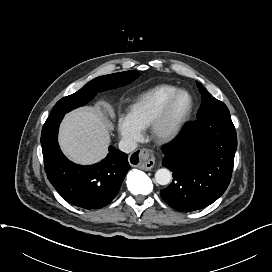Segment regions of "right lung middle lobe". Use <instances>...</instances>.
<instances>
[{"label":"right lung middle lobe","mask_w":272,"mask_h":272,"mask_svg":"<svg viewBox=\"0 0 272 272\" xmlns=\"http://www.w3.org/2000/svg\"><path fill=\"white\" fill-rule=\"evenodd\" d=\"M138 77L139 72L137 71H125L95 78L76 93L59 100L53 107L49 117L65 114L77 107L83 106L94 98L97 92L124 86Z\"/></svg>","instance_id":"dd1d6c3e"}]
</instances>
